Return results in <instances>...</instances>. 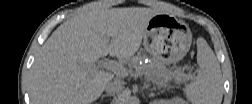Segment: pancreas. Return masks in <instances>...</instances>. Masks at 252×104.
I'll return each mask as SVG.
<instances>
[{"label":"pancreas","instance_id":"pancreas-1","mask_svg":"<svg viewBox=\"0 0 252 104\" xmlns=\"http://www.w3.org/2000/svg\"><path fill=\"white\" fill-rule=\"evenodd\" d=\"M128 72L145 75L147 80L162 87H168L171 81L178 83L182 80L188 79V75L184 74L180 69L171 71L162 63L154 62L148 64H145L143 61L142 63H135L129 67Z\"/></svg>","mask_w":252,"mask_h":104}]
</instances>
